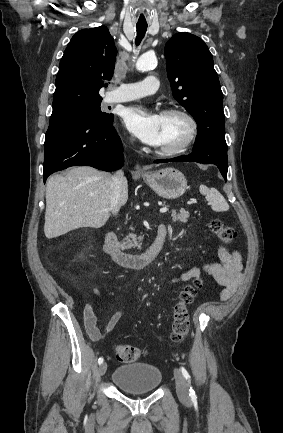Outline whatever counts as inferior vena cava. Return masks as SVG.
Listing matches in <instances>:
<instances>
[{
  "mask_svg": "<svg viewBox=\"0 0 283 433\" xmlns=\"http://www.w3.org/2000/svg\"><path fill=\"white\" fill-rule=\"evenodd\" d=\"M125 180L123 170H117L112 176L111 180V192H110V202L112 204L113 212L119 210L118 200H120V194L122 190V184Z\"/></svg>",
  "mask_w": 283,
  "mask_h": 433,
  "instance_id": "602c4592",
  "label": "inferior vena cava"
}]
</instances>
